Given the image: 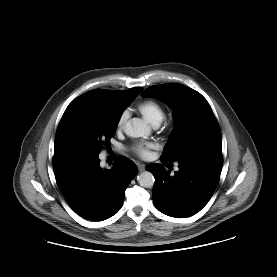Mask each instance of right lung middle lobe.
Returning a JSON list of instances; mask_svg holds the SVG:
<instances>
[{
  "label": "right lung middle lobe",
  "instance_id": "obj_1",
  "mask_svg": "<svg viewBox=\"0 0 277 277\" xmlns=\"http://www.w3.org/2000/svg\"><path fill=\"white\" fill-rule=\"evenodd\" d=\"M135 96L113 99L92 90L77 97L65 110L55 141L69 151L99 154L109 147L123 110Z\"/></svg>",
  "mask_w": 277,
  "mask_h": 277
}]
</instances>
